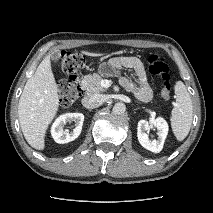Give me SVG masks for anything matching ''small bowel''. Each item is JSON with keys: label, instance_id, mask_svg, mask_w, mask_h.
I'll list each match as a JSON object with an SVG mask.
<instances>
[{"label": "small bowel", "instance_id": "1", "mask_svg": "<svg viewBox=\"0 0 213 213\" xmlns=\"http://www.w3.org/2000/svg\"><path fill=\"white\" fill-rule=\"evenodd\" d=\"M109 68L116 71L122 68L132 69L135 74V81L127 77H121V85L134 93V95L142 100L148 101L152 96V90L148 83L142 62L136 57H115L109 62Z\"/></svg>", "mask_w": 213, "mask_h": 213}]
</instances>
